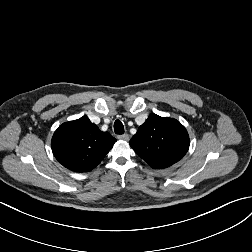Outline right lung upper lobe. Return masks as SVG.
<instances>
[{
    "instance_id": "right-lung-upper-lobe-1",
    "label": "right lung upper lobe",
    "mask_w": 252,
    "mask_h": 252,
    "mask_svg": "<svg viewBox=\"0 0 252 252\" xmlns=\"http://www.w3.org/2000/svg\"><path fill=\"white\" fill-rule=\"evenodd\" d=\"M115 142L110 133L100 131L88 117H81L59 126L51 147L63 166L74 172H88L102 161Z\"/></svg>"
}]
</instances>
